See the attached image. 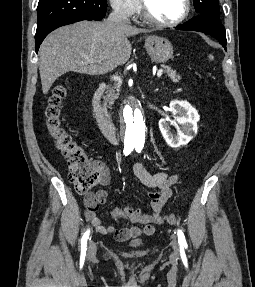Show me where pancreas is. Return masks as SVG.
Listing matches in <instances>:
<instances>
[{
  "label": "pancreas",
  "instance_id": "1",
  "mask_svg": "<svg viewBox=\"0 0 255 287\" xmlns=\"http://www.w3.org/2000/svg\"><path fill=\"white\" fill-rule=\"evenodd\" d=\"M161 68L165 70L167 76H169V78H171L173 82H179V80H181V76H176L175 70H171L169 66H161ZM119 92L120 86H117V84L116 86H113V88H110V90H107V92H105V96H103L105 108H108V106L114 104V100H118L120 96Z\"/></svg>",
  "mask_w": 255,
  "mask_h": 287
}]
</instances>
